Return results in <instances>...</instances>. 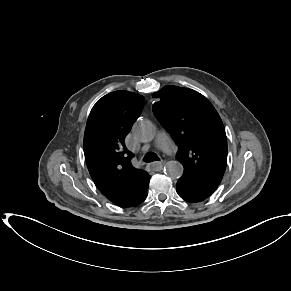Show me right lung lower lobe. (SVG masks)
I'll use <instances>...</instances> for the list:
<instances>
[{
  "label": "right lung lower lobe",
  "instance_id": "1",
  "mask_svg": "<svg viewBox=\"0 0 291 291\" xmlns=\"http://www.w3.org/2000/svg\"><path fill=\"white\" fill-rule=\"evenodd\" d=\"M147 193H148V191L144 194L142 199L138 200L137 202H133L131 204H117V205L120 206V207H134V206H137V205L141 204L145 200V198L147 197Z\"/></svg>",
  "mask_w": 291,
  "mask_h": 291
}]
</instances>
